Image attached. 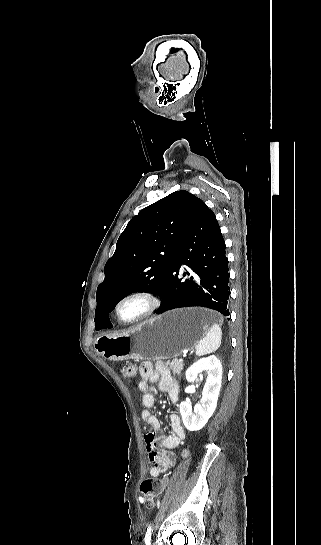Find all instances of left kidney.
<instances>
[{
    "label": "left kidney",
    "mask_w": 321,
    "mask_h": 545,
    "mask_svg": "<svg viewBox=\"0 0 321 545\" xmlns=\"http://www.w3.org/2000/svg\"><path fill=\"white\" fill-rule=\"evenodd\" d=\"M202 371H207V379L200 403L195 405L194 411H192L191 403H186V401H183L179 407L184 427L188 431L203 429L217 407L222 383V365L219 359L215 355H210L206 359H199L193 363L186 371L188 383L199 381Z\"/></svg>",
    "instance_id": "left-kidney-1"
}]
</instances>
